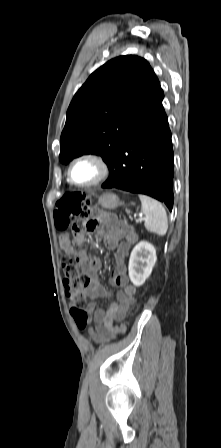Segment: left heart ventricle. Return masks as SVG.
I'll list each match as a JSON object with an SVG mask.
<instances>
[{
    "instance_id": "b2bd125f",
    "label": "left heart ventricle",
    "mask_w": 221,
    "mask_h": 448,
    "mask_svg": "<svg viewBox=\"0 0 221 448\" xmlns=\"http://www.w3.org/2000/svg\"><path fill=\"white\" fill-rule=\"evenodd\" d=\"M99 175V168L91 161L83 160L75 163L72 167L71 176L77 183H87Z\"/></svg>"
}]
</instances>
